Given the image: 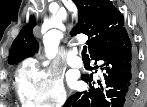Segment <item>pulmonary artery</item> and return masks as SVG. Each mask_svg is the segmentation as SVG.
Masks as SVG:
<instances>
[{
  "instance_id": "1",
  "label": "pulmonary artery",
  "mask_w": 147,
  "mask_h": 107,
  "mask_svg": "<svg viewBox=\"0 0 147 107\" xmlns=\"http://www.w3.org/2000/svg\"><path fill=\"white\" fill-rule=\"evenodd\" d=\"M67 62L69 66L75 67V68H81L83 65L81 58L77 56L75 53L69 54Z\"/></svg>"
}]
</instances>
